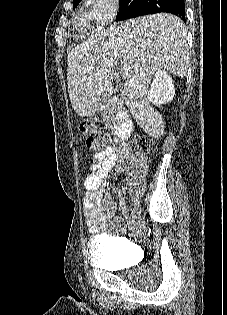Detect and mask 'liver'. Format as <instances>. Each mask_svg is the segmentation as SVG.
I'll list each match as a JSON object with an SVG mask.
<instances>
[{"label": "liver", "instance_id": "liver-1", "mask_svg": "<svg viewBox=\"0 0 227 315\" xmlns=\"http://www.w3.org/2000/svg\"><path fill=\"white\" fill-rule=\"evenodd\" d=\"M117 63L129 68L123 95L134 119L150 136H163L162 115L149 104L148 88L158 71L186 76L190 56L185 24L168 13L143 16L115 23L73 48L67 58V87L79 116L94 115L99 102L118 89L113 83L120 80Z\"/></svg>", "mask_w": 227, "mask_h": 315}]
</instances>
